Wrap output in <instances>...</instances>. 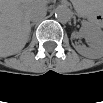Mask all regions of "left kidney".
I'll use <instances>...</instances> for the list:
<instances>
[{
  "instance_id": "1",
  "label": "left kidney",
  "mask_w": 103,
  "mask_h": 103,
  "mask_svg": "<svg viewBox=\"0 0 103 103\" xmlns=\"http://www.w3.org/2000/svg\"><path fill=\"white\" fill-rule=\"evenodd\" d=\"M80 35H83L87 42L90 43V48H87L85 46L81 45H74V48L77 50L78 53L81 55H84L85 57L88 58H99L102 56V48H103V41H102V36L93 33V32H80ZM76 34L73 33L71 35V38H75Z\"/></svg>"
}]
</instances>
